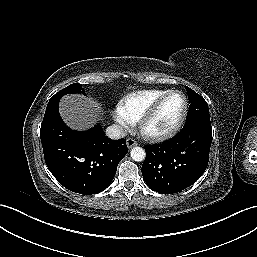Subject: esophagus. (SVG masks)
Masks as SVG:
<instances>
[{"instance_id":"34e87169","label":"esophagus","mask_w":257,"mask_h":257,"mask_svg":"<svg viewBox=\"0 0 257 257\" xmlns=\"http://www.w3.org/2000/svg\"><path fill=\"white\" fill-rule=\"evenodd\" d=\"M126 145H127V147L130 149V148L136 146V145H137V142H136V140L133 139V138H127V140H126Z\"/></svg>"}]
</instances>
